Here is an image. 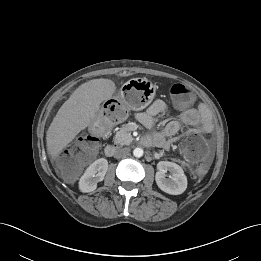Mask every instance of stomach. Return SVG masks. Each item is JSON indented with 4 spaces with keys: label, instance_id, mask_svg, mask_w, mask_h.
Here are the masks:
<instances>
[{
    "label": "stomach",
    "instance_id": "stomach-1",
    "mask_svg": "<svg viewBox=\"0 0 261 261\" xmlns=\"http://www.w3.org/2000/svg\"><path fill=\"white\" fill-rule=\"evenodd\" d=\"M155 95V89L147 79L133 78L128 80L120 89L118 101L127 111L142 110L151 103ZM100 126V120L96 119L91 124V129H97Z\"/></svg>",
    "mask_w": 261,
    "mask_h": 261
}]
</instances>
